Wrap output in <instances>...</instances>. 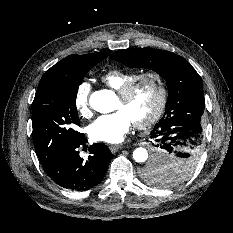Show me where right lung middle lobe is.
<instances>
[{"label": "right lung middle lobe", "mask_w": 233, "mask_h": 233, "mask_svg": "<svg viewBox=\"0 0 233 233\" xmlns=\"http://www.w3.org/2000/svg\"><path fill=\"white\" fill-rule=\"evenodd\" d=\"M98 62L100 60L36 92L32 127L34 147L40 160L57 157L83 136L76 131V126H80L76 108L78 86Z\"/></svg>", "instance_id": "dd1d6c3e"}]
</instances>
